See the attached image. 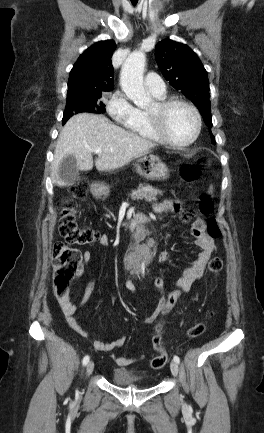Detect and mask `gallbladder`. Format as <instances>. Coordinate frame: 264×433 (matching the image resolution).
<instances>
[{
	"label": "gallbladder",
	"mask_w": 264,
	"mask_h": 433,
	"mask_svg": "<svg viewBox=\"0 0 264 433\" xmlns=\"http://www.w3.org/2000/svg\"><path fill=\"white\" fill-rule=\"evenodd\" d=\"M58 177L67 186L73 185L79 180V169L75 157L68 155L62 159L58 169Z\"/></svg>",
	"instance_id": "gallbladder-1"
}]
</instances>
